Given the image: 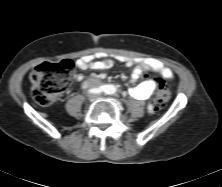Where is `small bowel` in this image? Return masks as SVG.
Instances as JSON below:
<instances>
[{
    "label": "small bowel",
    "instance_id": "1",
    "mask_svg": "<svg viewBox=\"0 0 222 187\" xmlns=\"http://www.w3.org/2000/svg\"><path fill=\"white\" fill-rule=\"evenodd\" d=\"M115 59L119 62L126 64L128 67L133 69L132 73V81L135 82L138 78L146 71H152L165 79L174 78V73L165 64L155 59H135L129 58L125 56H116ZM114 64V60L112 58L107 57L105 54H99L97 58L93 55L85 56L79 60H77L76 65L78 69H95V70H103L111 68ZM84 79L83 75L78 74L77 80L82 81ZM157 87L156 80H147L141 82L135 87H132L129 90L131 96L139 100H147L149 99L155 89Z\"/></svg>",
    "mask_w": 222,
    "mask_h": 187
}]
</instances>
